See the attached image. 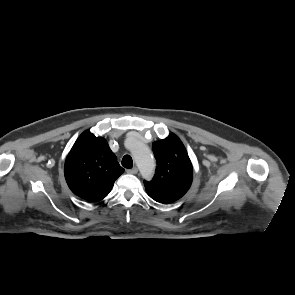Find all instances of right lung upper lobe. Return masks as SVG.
Segmentation results:
<instances>
[{
    "label": "right lung upper lobe",
    "instance_id": "obj_1",
    "mask_svg": "<svg viewBox=\"0 0 295 295\" xmlns=\"http://www.w3.org/2000/svg\"><path fill=\"white\" fill-rule=\"evenodd\" d=\"M123 172L107 141L89 131L83 132L76 140L64 167L71 191L89 202L105 198Z\"/></svg>",
    "mask_w": 295,
    "mask_h": 295
}]
</instances>
